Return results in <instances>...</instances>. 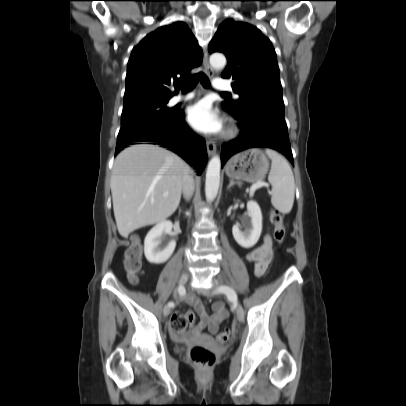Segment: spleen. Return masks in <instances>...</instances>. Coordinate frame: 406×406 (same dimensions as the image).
<instances>
[{"label": "spleen", "mask_w": 406, "mask_h": 406, "mask_svg": "<svg viewBox=\"0 0 406 406\" xmlns=\"http://www.w3.org/2000/svg\"><path fill=\"white\" fill-rule=\"evenodd\" d=\"M271 159V170L268 180L272 185L271 203L275 209L283 214L292 210L295 197V181L288 162L277 152L265 150Z\"/></svg>", "instance_id": "3e777b00"}]
</instances>
